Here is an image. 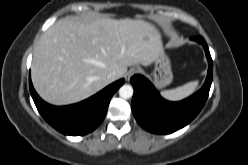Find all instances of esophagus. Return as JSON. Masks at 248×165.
Returning <instances> with one entry per match:
<instances>
[{
	"label": "esophagus",
	"mask_w": 248,
	"mask_h": 165,
	"mask_svg": "<svg viewBox=\"0 0 248 165\" xmlns=\"http://www.w3.org/2000/svg\"><path fill=\"white\" fill-rule=\"evenodd\" d=\"M139 71H140V69L138 67L130 68L125 74L126 80H129L131 78V76H133L134 74L138 73Z\"/></svg>",
	"instance_id": "obj_1"
}]
</instances>
